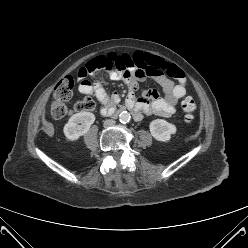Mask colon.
<instances>
[{
  "label": "colon",
  "mask_w": 248,
  "mask_h": 248,
  "mask_svg": "<svg viewBox=\"0 0 248 248\" xmlns=\"http://www.w3.org/2000/svg\"><path fill=\"white\" fill-rule=\"evenodd\" d=\"M86 68V73H95L101 71H123L128 73L131 63L123 56L110 53L106 56L97 57L91 60ZM74 80L71 76H65L58 81L54 88L53 102L51 105V114L54 118L60 119L69 115L72 111L68 110L65 102L68 101L73 93ZM95 108L93 99L87 97L76 102L74 112H88ZM181 109L184 113V122L191 124L194 119L196 109L195 101L192 97H185L181 101Z\"/></svg>",
  "instance_id": "colon-1"
}]
</instances>
